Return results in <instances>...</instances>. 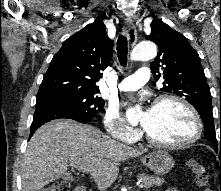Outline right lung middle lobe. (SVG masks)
Returning <instances> with one entry per match:
<instances>
[{
  "instance_id": "dd1d6c3e",
  "label": "right lung middle lobe",
  "mask_w": 221,
  "mask_h": 191,
  "mask_svg": "<svg viewBox=\"0 0 221 191\" xmlns=\"http://www.w3.org/2000/svg\"><path fill=\"white\" fill-rule=\"evenodd\" d=\"M48 100L64 106L76 117L91 121L104 106V100L91 94H70L54 97Z\"/></svg>"
}]
</instances>
